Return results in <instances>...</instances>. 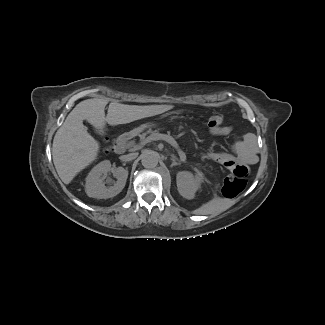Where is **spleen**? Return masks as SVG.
Wrapping results in <instances>:
<instances>
[{"label": "spleen", "mask_w": 325, "mask_h": 325, "mask_svg": "<svg viewBox=\"0 0 325 325\" xmlns=\"http://www.w3.org/2000/svg\"><path fill=\"white\" fill-rule=\"evenodd\" d=\"M228 207V201L219 196H214L210 201L203 204L193 211L196 215H208L213 213H221Z\"/></svg>", "instance_id": "3e777b00"}]
</instances>
